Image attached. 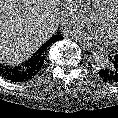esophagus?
I'll list each match as a JSON object with an SVG mask.
<instances>
[{
  "label": "esophagus",
  "mask_w": 118,
  "mask_h": 118,
  "mask_svg": "<svg viewBox=\"0 0 118 118\" xmlns=\"http://www.w3.org/2000/svg\"><path fill=\"white\" fill-rule=\"evenodd\" d=\"M82 48L87 52H94V49L91 47L86 46L85 44L82 45Z\"/></svg>",
  "instance_id": "obj_1"
}]
</instances>
